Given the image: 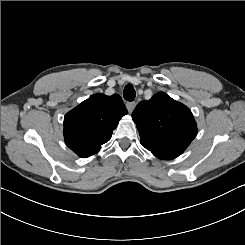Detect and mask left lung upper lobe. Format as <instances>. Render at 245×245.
<instances>
[{"label": "left lung upper lobe", "mask_w": 245, "mask_h": 245, "mask_svg": "<svg viewBox=\"0 0 245 245\" xmlns=\"http://www.w3.org/2000/svg\"><path fill=\"white\" fill-rule=\"evenodd\" d=\"M132 118L142 146L164 160L181 155L197 134L190 109L164 92L140 102Z\"/></svg>", "instance_id": "left-lung-upper-lobe-1"}]
</instances>
